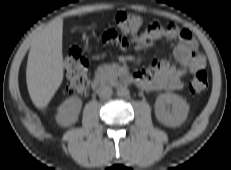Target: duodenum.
<instances>
[{
  "instance_id": "obj_1",
  "label": "duodenum",
  "mask_w": 231,
  "mask_h": 170,
  "mask_svg": "<svg viewBox=\"0 0 231 170\" xmlns=\"http://www.w3.org/2000/svg\"><path fill=\"white\" fill-rule=\"evenodd\" d=\"M134 77L124 69L117 68L115 73L106 78L101 74L95 75L92 79L91 87L94 92H99L105 85H123L135 83Z\"/></svg>"
}]
</instances>
